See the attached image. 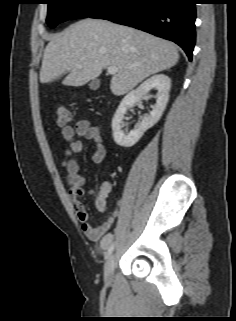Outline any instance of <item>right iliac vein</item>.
<instances>
[{
  "instance_id": "right-iliac-vein-1",
  "label": "right iliac vein",
  "mask_w": 236,
  "mask_h": 321,
  "mask_svg": "<svg viewBox=\"0 0 236 321\" xmlns=\"http://www.w3.org/2000/svg\"><path fill=\"white\" fill-rule=\"evenodd\" d=\"M116 258L115 255H110L104 266V280L106 284H111L113 281L114 268H115Z\"/></svg>"
}]
</instances>
